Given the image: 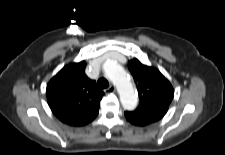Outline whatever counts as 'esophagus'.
Instances as JSON below:
<instances>
[{"instance_id": "obj_1", "label": "esophagus", "mask_w": 225, "mask_h": 155, "mask_svg": "<svg viewBox=\"0 0 225 155\" xmlns=\"http://www.w3.org/2000/svg\"><path fill=\"white\" fill-rule=\"evenodd\" d=\"M116 91V88L114 85H110L108 89L105 90V92L113 93Z\"/></svg>"}]
</instances>
